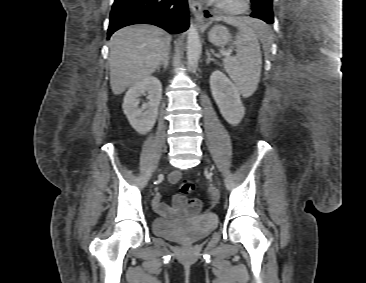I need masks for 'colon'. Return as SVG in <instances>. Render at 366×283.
<instances>
[{
    "mask_svg": "<svg viewBox=\"0 0 366 283\" xmlns=\"http://www.w3.org/2000/svg\"><path fill=\"white\" fill-rule=\"evenodd\" d=\"M179 191L183 196H189L194 193L195 185L189 180H182L179 184ZM200 207V202L196 199L191 200L189 204L190 214H195Z\"/></svg>",
    "mask_w": 366,
    "mask_h": 283,
    "instance_id": "5ec220e1",
    "label": "colon"
}]
</instances>
